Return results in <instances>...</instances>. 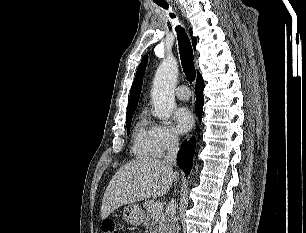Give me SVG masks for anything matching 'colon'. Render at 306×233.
<instances>
[{
	"label": "colon",
	"instance_id": "obj_1",
	"mask_svg": "<svg viewBox=\"0 0 306 233\" xmlns=\"http://www.w3.org/2000/svg\"><path fill=\"white\" fill-rule=\"evenodd\" d=\"M101 233H118L114 222H106L101 227Z\"/></svg>",
	"mask_w": 306,
	"mask_h": 233
}]
</instances>
